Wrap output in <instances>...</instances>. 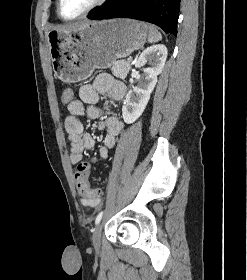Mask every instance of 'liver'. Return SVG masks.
I'll use <instances>...</instances> for the list:
<instances>
[{
  "label": "liver",
  "instance_id": "1",
  "mask_svg": "<svg viewBox=\"0 0 247 280\" xmlns=\"http://www.w3.org/2000/svg\"><path fill=\"white\" fill-rule=\"evenodd\" d=\"M90 23H92V22H90V21L76 22V23H72L69 25H65V26H59V27H56L55 29L59 32H66V31H71V30H76V29L86 27Z\"/></svg>",
  "mask_w": 247,
  "mask_h": 280
}]
</instances>
